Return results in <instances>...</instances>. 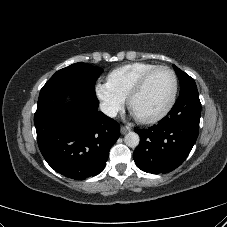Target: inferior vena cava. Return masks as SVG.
Listing matches in <instances>:
<instances>
[{
    "mask_svg": "<svg viewBox=\"0 0 227 227\" xmlns=\"http://www.w3.org/2000/svg\"><path fill=\"white\" fill-rule=\"evenodd\" d=\"M99 108L104 114H106L107 116H109L111 118H113L117 115V110L115 109V107H113L105 102L100 103Z\"/></svg>",
    "mask_w": 227,
    "mask_h": 227,
    "instance_id": "602c4592",
    "label": "inferior vena cava"
}]
</instances>
